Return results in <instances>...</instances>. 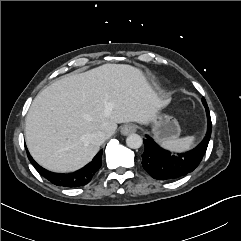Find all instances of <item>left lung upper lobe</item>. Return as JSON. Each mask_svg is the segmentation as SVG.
<instances>
[{
    "label": "left lung upper lobe",
    "instance_id": "1",
    "mask_svg": "<svg viewBox=\"0 0 241 241\" xmlns=\"http://www.w3.org/2000/svg\"><path fill=\"white\" fill-rule=\"evenodd\" d=\"M202 102H203V104H206V101H205V99H204V98L202 99Z\"/></svg>",
    "mask_w": 241,
    "mask_h": 241
}]
</instances>
